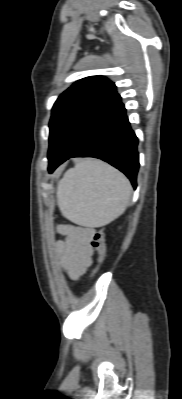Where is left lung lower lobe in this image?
<instances>
[{
    "instance_id": "obj_1",
    "label": "left lung lower lobe",
    "mask_w": 182,
    "mask_h": 399,
    "mask_svg": "<svg viewBox=\"0 0 182 399\" xmlns=\"http://www.w3.org/2000/svg\"><path fill=\"white\" fill-rule=\"evenodd\" d=\"M138 139L130 127L120 95L91 113L62 153L49 162V173L72 157H95L122 171L136 188Z\"/></svg>"
}]
</instances>
